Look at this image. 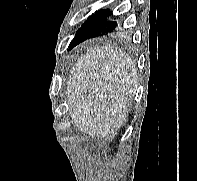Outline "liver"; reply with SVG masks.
Masks as SVG:
<instances>
[{
	"label": "liver",
	"instance_id": "6515ba94",
	"mask_svg": "<svg viewBox=\"0 0 197 181\" xmlns=\"http://www.w3.org/2000/svg\"><path fill=\"white\" fill-rule=\"evenodd\" d=\"M137 87V68L129 55L110 45L87 49L67 82L74 125L91 137L115 136Z\"/></svg>",
	"mask_w": 197,
	"mask_h": 181
}]
</instances>
